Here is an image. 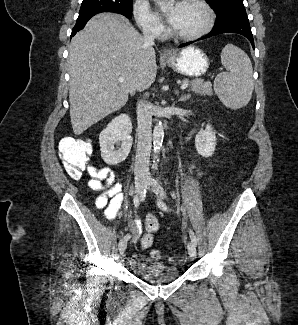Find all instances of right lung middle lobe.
I'll return each instance as SVG.
<instances>
[{
  "label": "right lung middle lobe",
  "instance_id": "right-lung-middle-lobe-1",
  "mask_svg": "<svg viewBox=\"0 0 298 325\" xmlns=\"http://www.w3.org/2000/svg\"><path fill=\"white\" fill-rule=\"evenodd\" d=\"M133 0H83L78 19L94 16L100 12H116L132 17Z\"/></svg>",
  "mask_w": 298,
  "mask_h": 325
}]
</instances>
